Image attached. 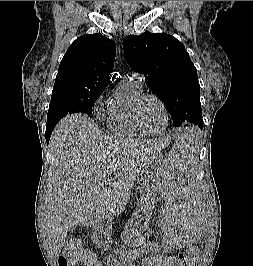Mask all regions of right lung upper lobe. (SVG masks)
<instances>
[{
	"label": "right lung upper lobe",
	"mask_w": 253,
	"mask_h": 266,
	"mask_svg": "<svg viewBox=\"0 0 253 266\" xmlns=\"http://www.w3.org/2000/svg\"><path fill=\"white\" fill-rule=\"evenodd\" d=\"M115 55V42L101 34L77 38L60 63L51 98L103 92Z\"/></svg>",
	"instance_id": "obj_1"
}]
</instances>
